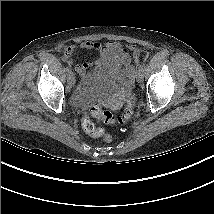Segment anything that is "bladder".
I'll use <instances>...</instances> for the list:
<instances>
[{"instance_id":"bladder-1","label":"bladder","mask_w":214,"mask_h":214,"mask_svg":"<svg viewBox=\"0 0 214 214\" xmlns=\"http://www.w3.org/2000/svg\"><path fill=\"white\" fill-rule=\"evenodd\" d=\"M85 76L75 89L73 101L81 105L91 100H103L112 95H120L129 88V74L123 63H110L106 68L99 69Z\"/></svg>"}]
</instances>
